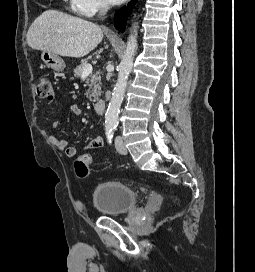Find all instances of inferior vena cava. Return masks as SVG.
Instances as JSON below:
<instances>
[{
	"mask_svg": "<svg viewBox=\"0 0 255 272\" xmlns=\"http://www.w3.org/2000/svg\"><path fill=\"white\" fill-rule=\"evenodd\" d=\"M108 8H109L108 3L105 2V1H102L101 4H100V13H101V15H104L107 12Z\"/></svg>",
	"mask_w": 255,
	"mask_h": 272,
	"instance_id": "602c4592",
	"label": "inferior vena cava"
}]
</instances>
